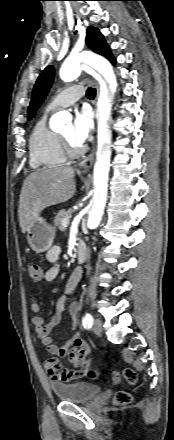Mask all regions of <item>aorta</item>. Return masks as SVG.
Segmentation results:
<instances>
[{
	"mask_svg": "<svg viewBox=\"0 0 174 440\" xmlns=\"http://www.w3.org/2000/svg\"><path fill=\"white\" fill-rule=\"evenodd\" d=\"M89 65L105 79L108 85L107 97L98 106V152L94 168V187L92 199L89 204L87 226L95 229L99 225L107 201L108 173L111 156V135L109 127L110 107L113 95L117 88L116 77L110 62L96 54H80L67 58L61 69L60 77L65 82L75 80L81 73V66ZM69 115L66 112L54 114L50 120L52 129L61 128Z\"/></svg>",
	"mask_w": 174,
	"mask_h": 440,
	"instance_id": "obj_1",
	"label": "aorta"
}]
</instances>
